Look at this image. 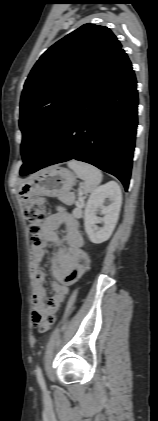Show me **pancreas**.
<instances>
[{
	"label": "pancreas",
	"mask_w": 158,
	"mask_h": 421,
	"mask_svg": "<svg viewBox=\"0 0 158 421\" xmlns=\"http://www.w3.org/2000/svg\"><path fill=\"white\" fill-rule=\"evenodd\" d=\"M61 200L63 202H65L66 204H68V205H71L73 203H75L76 205H79V206H83L84 205V200L81 199V200L75 201V197H74L73 194H68V195L62 197Z\"/></svg>",
	"instance_id": "pancreas-1"
}]
</instances>
